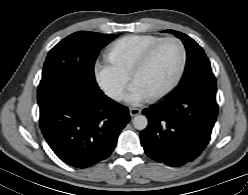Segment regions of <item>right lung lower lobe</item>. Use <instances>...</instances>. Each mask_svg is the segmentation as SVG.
<instances>
[{
	"mask_svg": "<svg viewBox=\"0 0 248 195\" xmlns=\"http://www.w3.org/2000/svg\"><path fill=\"white\" fill-rule=\"evenodd\" d=\"M40 127L55 154L77 168L110 156L129 122L128 108L101 90L60 85L38 94Z\"/></svg>",
	"mask_w": 248,
	"mask_h": 195,
	"instance_id": "right-lung-lower-lobe-1",
	"label": "right lung lower lobe"
}]
</instances>
